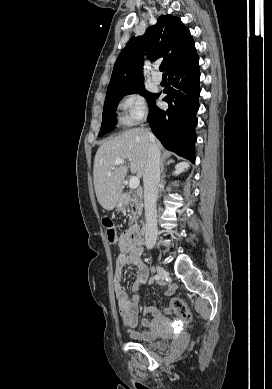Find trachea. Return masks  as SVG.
<instances>
[{"instance_id":"3493384b","label":"trachea","mask_w":272,"mask_h":389,"mask_svg":"<svg viewBox=\"0 0 272 389\" xmlns=\"http://www.w3.org/2000/svg\"><path fill=\"white\" fill-rule=\"evenodd\" d=\"M159 70L163 73L164 71H165V66L164 65H161L160 67H159ZM164 75V74H163Z\"/></svg>"}]
</instances>
